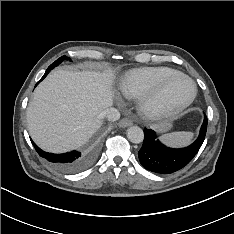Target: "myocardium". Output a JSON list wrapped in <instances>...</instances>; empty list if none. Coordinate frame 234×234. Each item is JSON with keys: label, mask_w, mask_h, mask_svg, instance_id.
<instances>
[{"label": "myocardium", "mask_w": 234, "mask_h": 234, "mask_svg": "<svg viewBox=\"0 0 234 234\" xmlns=\"http://www.w3.org/2000/svg\"><path fill=\"white\" fill-rule=\"evenodd\" d=\"M176 79L187 80L192 86L191 94L185 100L180 102L174 103V102L162 101L161 94ZM196 95H197V87L194 81L190 79L188 76L179 72L175 75L166 78L155 88H153L147 94L142 96L140 102V108L145 116L151 118H156L168 114H175L183 111L185 108L191 105L194 99L196 98Z\"/></svg>", "instance_id": "1"}]
</instances>
